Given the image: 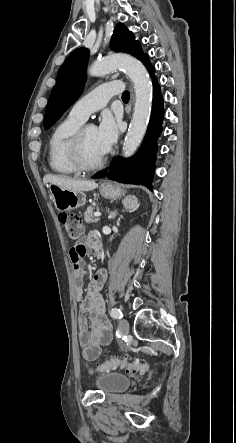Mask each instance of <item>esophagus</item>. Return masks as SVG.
I'll list each match as a JSON object with an SVG mask.
<instances>
[{
  "label": "esophagus",
  "instance_id": "1",
  "mask_svg": "<svg viewBox=\"0 0 236 443\" xmlns=\"http://www.w3.org/2000/svg\"><path fill=\"white\" fill-rule=\"evenodd\" d=\"M134 101V95L132 93V102ZM107 184V182H103V185Z\"/></svg>",
  "mask_w": 236,
  "mask_h": 443
}]
</instances>
